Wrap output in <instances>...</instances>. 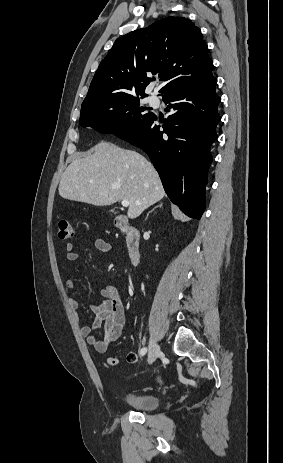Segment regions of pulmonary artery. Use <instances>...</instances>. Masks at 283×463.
Listing matches in <instances>:
<instances>
[{
  "label": "pulmonary artery",
  "instance_id": "obj_1",
  "mask_svg": "<svg viewBox=\"0 0 283 463\" xmlns=\"http://www.w3.org/2000/svg\"><path fill=\"white\" fill-rule=\"evenodd\" d=\"M149 103L152 105V106H156L158 105L159 103V99L156 97V96H151L149 98Z\"/></svg>",
  "mask_w": 283,
  "mask_h": 463
}]
</instances>
